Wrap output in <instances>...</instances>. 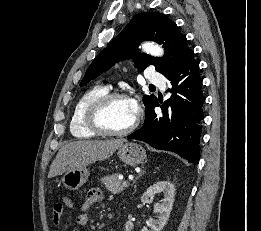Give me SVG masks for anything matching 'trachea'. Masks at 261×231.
I'll return each instance as SVG.
<instances>
[{"label": "trachea", "instance_id": "1", "mask_svg": "<svg viewBox=\"0 0 261 231\" xmlns=\"http://www.w3.org/2000/svg\"><path fill=\"white\" fill-rule=\"evenodd\" d=\"M150 87H155L154 85H150Z\"/></svg>", "mask_w": 261, "mask_h": 231}]
</instances>
